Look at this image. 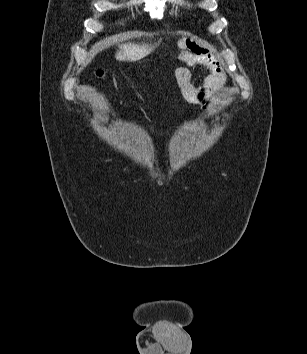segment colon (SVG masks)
I'll list each match as a JSON object with an SVG mask.
<instances>
[{
  "label": "colon",
  "instance_id": "5ec220e1",
  "mask_svg": "<svg viewBox=\"0 0 307 354\" xmlns=\"http://www.w3.org/2000/svg\"><path fill=\"white\" fill-rule=\"evenodd\" d=\"M97 74H98L99 76H102V75H103V72H102V71H98Z\"/></svg>",
  "mask_w": 307,
  "mask_h": 354
}]
</instances>
